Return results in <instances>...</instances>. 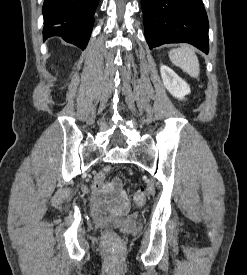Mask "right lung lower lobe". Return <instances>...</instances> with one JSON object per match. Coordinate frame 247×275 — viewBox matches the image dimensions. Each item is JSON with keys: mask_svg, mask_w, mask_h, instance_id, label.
<instances>
[{"mask_svg": "<svg viewBox=\"0 0 247 275\" xmlns=\"http://www.w3.org/2000/svg\"><path fill=\"white\" fill-rule=\"evenodd\" d=\"M99 0H44V41L60 36L82 50L87 46Z\"/></svg>", "mask_w": 247, "mask_h": 275, "instance_id": "obj_1", "label": "right lung lower lobe"}]
</instances>
